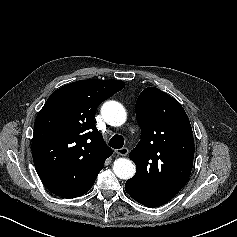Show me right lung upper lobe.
Segmentation results:
<instances>
[{"label":"right lung upper lobe","mask_w":237,"mask_h":237,"mask_svg":"<svg viewBox=\"0 0 237 237\" xmlns=\"http://www.w3.org/2000/svg\"><path fill=\"white\" fill-rule=\"evenodd\" d=\"M124 86L120 80H80L50 95L34 123L32 156L52 193L74 198L91 189L112 154L96 128L95 111Z\"/></svg>","instance_id":"right-lung-upper-lobe-1"}]
</instances>
